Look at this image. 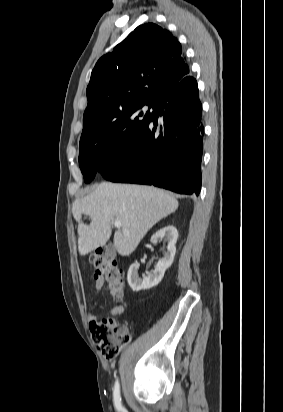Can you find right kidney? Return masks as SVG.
Instances as JSON below:
<instances>
[{
	"mask_svg": "<svg viewBox=\"0 0 283 412\" xmlns=\"http://www.w3.org/2000/svg\"><path fill=\"white\" fill-rule=\"evenodd\" d=\"M177 238L178 231L173 226L164 227L151 237V242L153 244H157L161 240L166 241L168 243L167 252L164 254L163 258L159 259L154 271L152 273H148L147 276L143 275L142 278L138 275V263H134L129 267L127 280L133 291L138 292L140 290L150 289L157 286L161 282L165 271L173 263L176 253L175 244L177 242Z\"/></svg>",
	"mask_w": 283,
	"mask_h": 412,
	"instance_id": "obj_1",
	"label": "right kidney"
}]
</instances>
